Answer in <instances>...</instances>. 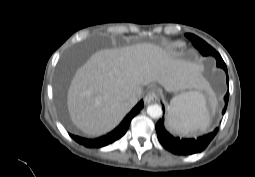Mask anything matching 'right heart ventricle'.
<instances>
[{"label":"right heart ventricle","instance_id":"1","mask_svg":"<svg viewBox=\"0 0 255 177\" xmlns=\"http://www.w3.org/2000/svg\"><path fill=\"white\" fill-rule=\"evenodd\" d=\"M184 47V43L182 42H175L170 45V48L174 51L179 50Z\"/></svg>","mask_w":255,"mask_h":177}]
</instances>
